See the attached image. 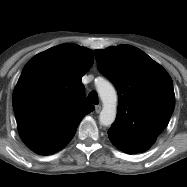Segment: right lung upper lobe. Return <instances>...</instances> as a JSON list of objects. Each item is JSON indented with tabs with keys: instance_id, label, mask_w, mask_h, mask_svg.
<instances>
[{
	"instance_id": "1",
	"label": "right lung upper lobe",
	"mask_w": 187,
	"mask_h": 187,
	"mask_svg": "<svg viewBox=\"0 0 187 187\" xmlns=\"http://www.w3.org/2000/svg\"><path fill=\"white\" fill-rule=\"evenodd\" d=\"M93 60L90 49L66 43L35 55L24 66L12 101L18 131L32 151H58L93 111L84 102L81 81Z\"/></svg>"
}]
</instances>
